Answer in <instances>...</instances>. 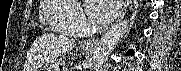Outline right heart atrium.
<instances>
[{
  "mask_svg": "<svg viewBox=\"0 0 181 71\" xmlns=\"http://www.w3.org/2000/svg\"><path fill=\"white\" fill-rule=\"evenodd\" d=\"M74 23L77 30H80L81 27L85 24V19L81 11H78L77 15L74 17Z\"/></svg>",
  "mask_w": 181,
  "mask_h": 71,
  "instance_id": "1",
  "label": "right heart atrium"
}]
</instances>
